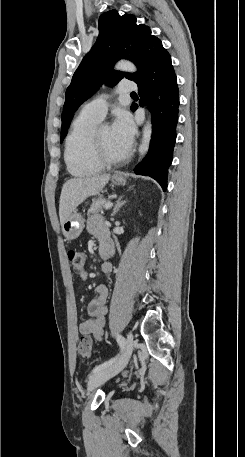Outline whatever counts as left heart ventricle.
<instances>
[{"label":"left heart ventricle","mask_w":245,"mask_h":457,"mask_svg":"<svg viewBox=\"0 0 245 457\" xmlns=\"http://www.w3.org/2000/svg\"><path fill=\"white\" fill-rule=\"evenodd\" d=\"M127 149L121 145L113 136L110 128L100 127L95 138V153L99 157L120 156Z\"/></svg>","instance_id":"obj_1"}]
</instances>
